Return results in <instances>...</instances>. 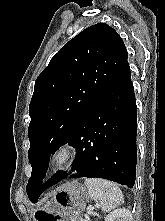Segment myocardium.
Returning <instances> with one entry per match:
<instances>
[{
  "mask_svg": "<svg viewBox=\"0 0 165 221\" xmlns=\"http://www.w3.org/2000/svg\"><path fill=\"white\" fill-rule=\"evenodd\" d=\"M76 156V147L70 141L57 144L50 152L49 164L55 171H65L73 163Z\"/></svg>",
  "mask_w": 165,
  "mask_h": 221,
  "instance_id": "1",
  "label": "myocardium"
}]
</instances>
